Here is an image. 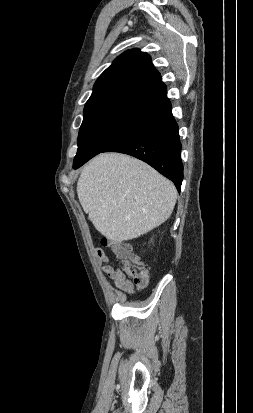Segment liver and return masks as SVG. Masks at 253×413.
I'll list each match as a JSON object with an SVG mask.
<instances>
[{"label": "liver", "mask_w": 253, "mask_h": 413, "mask_svg": "<svg viewBox=\"0 0 253 413\" xmlns=\"http://www.w3.org/2000/svg\"><path fill=\"white\" fill-rule=\"evenodd\" d=\"M82 208L97 231L117 242L153 230L172 214L174 184L146 163L102 153L82 170L77 183Z\"/></svg>", "instance_id": "6515ba94"}]
</instances>
